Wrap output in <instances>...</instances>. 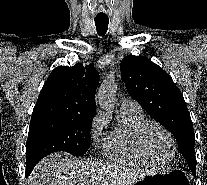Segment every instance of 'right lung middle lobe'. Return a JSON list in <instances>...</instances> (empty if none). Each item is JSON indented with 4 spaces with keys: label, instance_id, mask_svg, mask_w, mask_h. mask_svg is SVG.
Segmentation results:
<instances>
[{
    "label": "right lung middle lobe",
    "instance_id": "1",
    "mask_svg": "<svg viewBox=\"0 0 207 185\" xmlns=\"http://www.w3.org/2000/svg\"><path fill=\"white\" fill-rule=\"evenodd\" d=\"M92 123L70 117L32 116L26 144V174L46 155L66 151L84 155L90 147Z\"/></svg>",
    "mask_w": 207,
    "mask_h": 185
}]
</instances>
